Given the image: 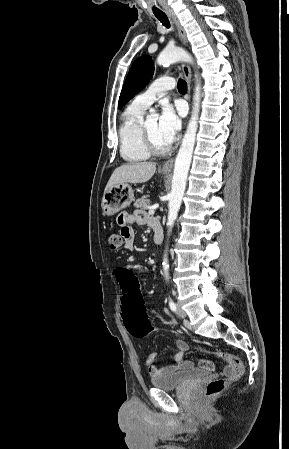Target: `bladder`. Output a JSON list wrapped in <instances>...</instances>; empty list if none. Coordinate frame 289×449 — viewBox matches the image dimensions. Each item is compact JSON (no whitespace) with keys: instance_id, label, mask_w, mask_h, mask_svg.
Here are the masks:
<instances>
[{"instance_id":"1","label":"bladder","mask_w":289,"mask_h":449,"mask_svg":"<svg viewBox=\"0 0 289 449\" xmlns=\"http://www.w3.org/2000/svg\"><path fill=\"white\" fill-rule=\"evenodd\" d=\"M207 372L199 369L178 370L151 377V384L159 389L174 390L185 387L206 376Z\"/></svg>"}]
</instances>
